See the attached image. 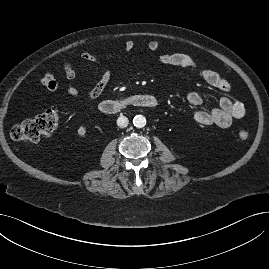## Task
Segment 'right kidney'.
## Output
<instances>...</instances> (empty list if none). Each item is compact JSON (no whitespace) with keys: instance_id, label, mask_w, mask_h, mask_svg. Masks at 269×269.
Segmentation results:
<instances>
[{"instance_id":"ca27d5eb","label":"right kidney","mask_w":269,"mask_h":269,"mask_svg":"<svg viewBox=\"0 0 269 269\" xmlns=\"http://www.w3.org/2000/svg\"><path fill=\"white\" fill-rule=\"evenodd\" d=\"M85 134H86V127L80 126L78 129V135H80L81 137H85Z\"/></svg>"}]
</instances>
